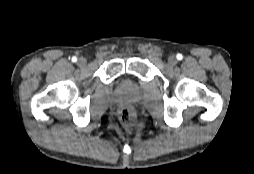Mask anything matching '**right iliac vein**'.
Listing matches in <instances>:
<instances>
[{"label":"right iliac vein","instance_id":"1","mask_svg":"<svg viewBox=\"0 0 254 174\" xmlns=\"http://www.w3.org/2000/svg\"><path fill=\"white\" fill-rule=\"evenodd\" d=\"M77 64H78L80 67L86 66V64H87L86 58L80 57V58L77 60Z\"/></svg>","mask_w":254,"mask_h":174}]
</instances>
